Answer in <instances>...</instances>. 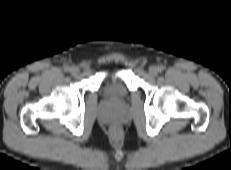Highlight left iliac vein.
<instances>
[{
	"mask_svg": "<svg viewBox=\"0 0 231 170\" xmlns=\"http://www.w3.org/2000/svg\"><path fill=\"white\" fill-rule=\"evenodd\" d=\"M158 72H159V70H158V68L156 66H151L149 68V75L152 76V77L157 76Z\"/></svg>",
	"mask_w": 231,
	"mask_h": 170,
	"instance_id": "obj_1",
	"label": "left iliac vein"
}]
</instances>
